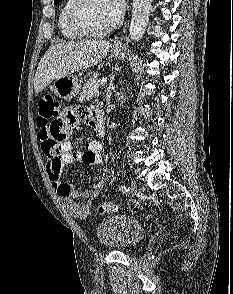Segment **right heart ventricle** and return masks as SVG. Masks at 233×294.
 I'll use <instances>...</instances> for the list:
<instances>
[{"label":"right heart ventricle","mask_w":233,"mask_h":294,"mask_svg":"<svg viewBox=\"0 0 233 294\" xmlns=\"http://www.w3.org/2000/svg\"><path fill=\"white\" fill-rule=\"evenodd\" d=\"M74 0H64L58 14V29L61 35L68 40H78L83 36L78 33L71 25L69 14Z\"/></svg>","instance_id":"e07e8e85"}]
</instances>
